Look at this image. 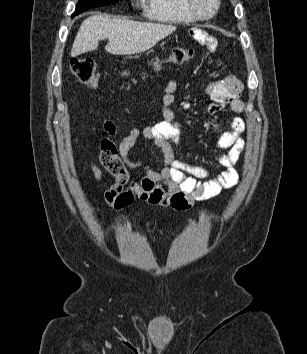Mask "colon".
<instances>
[{"label":"colon","instance_id":"5ec220e1","mask_svg":"<svg viewBox=\"0 0 307 354\" xmlns=\"http://www.w3.org/2000/svg\"><path fill=\"white\" fill-rule=\"evenodd\" d=\"M193 52L187 48H176L166 57V61L171 63H184L192 58ZM161 59L154 58L152 65L155 69H159ZM71 73L83 84L96 87L99 82V72L93 59L89 57L73 58L70 61Z\"/></svg>","mask_w":307,"mask_h":354}]
</instances>
